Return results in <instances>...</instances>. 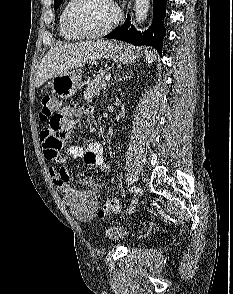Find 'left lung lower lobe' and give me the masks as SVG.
<instances>
[{"label":"left lung lower lobe","instance_id":"1","mask_svg":"<svg viewBox=\"0 0 233 294\" xmlns=\"http://www.w3.org/2000/svg\"><path fill=\"white\" fill-rule=\"evenodd\" d=\"M167 0H153L154 18L149 30L143 34L136 31L133 25H130V16L128 15L124 24L117 29H114L105 38L116 39L131 43L133 45H149L161 52L162 41L165 36V28L161 23L166 15L165 4Z\"/></svg>","mask_w":233,"mask_h":294}]
</instances>
